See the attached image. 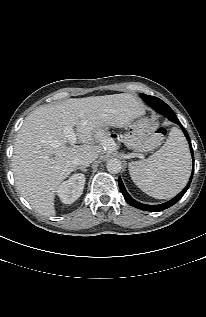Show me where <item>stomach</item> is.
I'll list each match as a JSON object with an SVG mask.
<instances>
[{
  "mask_svg": "<svg viewBox=\"0 0 206 317\" xmlns=\"http://www.w3.org/2000/svg\"><path fill=\"white\" fill-rule=\"evenodd\" d=\"M126 134L124 136V142L126 146L137 152H147L152 150V132L151 122L147 118H141L136 121H131L126 126ZM99 136L102 138L107 137V133L98 131Z\"/></svg>",
  "mask_w": 206,
  "mask_h": 317,
  "instance_id": "1",
  "label": "stomach"
}]
</instances>
